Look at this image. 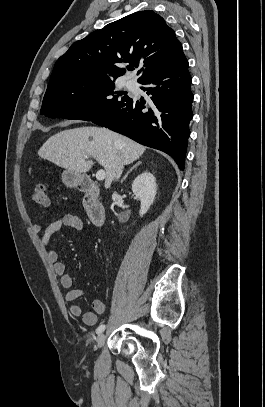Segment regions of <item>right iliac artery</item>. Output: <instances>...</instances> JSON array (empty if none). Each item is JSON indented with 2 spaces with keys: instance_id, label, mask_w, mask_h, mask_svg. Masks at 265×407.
I'll list each match as a JSON object with an SVG mask.
<instances>
[{
  "instance_id": "1",
  "label": "right iliac artery",
  "mask_w": 265,
  "mask_h": 407,
  "mask_svg": "<svg viewBox=\"0 0 265 407\" xmlns=\"http://www.w3.org/2000/svg\"><path fill=\"white\" fill-rule=\"evenodd\" d=\"M105 329V325H100L97 329H96V333L99 334L101 332H103Z\"/></svg>"
}]
</instances>
